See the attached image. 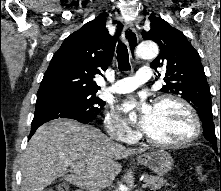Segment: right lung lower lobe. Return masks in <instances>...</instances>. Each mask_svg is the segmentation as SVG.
Here are the masks:
<instances>
[{"instance_id":"1","label":"right lung lower lobe","mask_w":221,"mask_h":191,"mask_svg":"<svg viewBox=\"0 0 221 191\" xmlns=\"http://www.w3.org/2000/svg\"><path fill=\"white\" fill-rule=\"evenodd\" d=\"M57 118H70L84 124L90 123L94 120V118H85L84 116L77 114L73 108L58 98H37L29 139L38 127Z\"/></svg>"}]
</instances>
